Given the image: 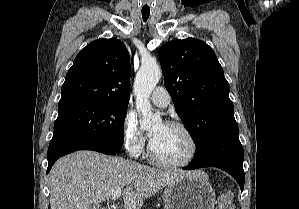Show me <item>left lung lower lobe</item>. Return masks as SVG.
<instances>
[{
	"label": "left lung lower lobe",
	"instance_id": "1",
	"mask_svg": "<svg viewBox=\"0 0 299 209\" xmlns=\"http://www.w3.org/2000/svg\"><path fill=\"white\" fill-rule=\"evenodd\" d=\"M238 134V125L231 126L217 134L184 170L211 166L220 168L233 176L243 191L245 180L244 154Z\"/></svg>",
	"mask_w": 299,
	"mask_h": 209
}]
</instances>
